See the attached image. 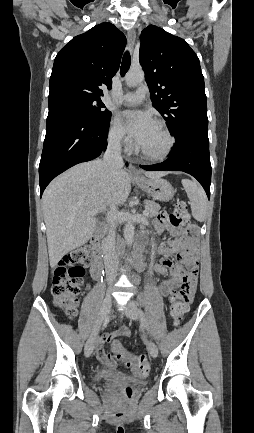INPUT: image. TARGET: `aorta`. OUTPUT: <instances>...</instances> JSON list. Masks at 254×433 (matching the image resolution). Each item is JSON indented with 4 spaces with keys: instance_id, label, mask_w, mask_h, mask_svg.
Masks as SVG:
<instances>
[{
    "instance_id": "obj_1",
    "label": "aorta",
    "mask_w": 254,
    "mask_h": 433,
    "mask_svg": "<svg viewBox=\"0 0 254 433\" xmlns=\"http://www.w3.org/2000/svg\"><path fill=\"white\" fill-rule=\"evenodd\" d=\"M144 81V72L142 70H130L125 77V83L128 87H136ZM134 225L127 222L124 227V238L128 246L132 245L134 238Z\"/></svg>"
}]
</instances>
